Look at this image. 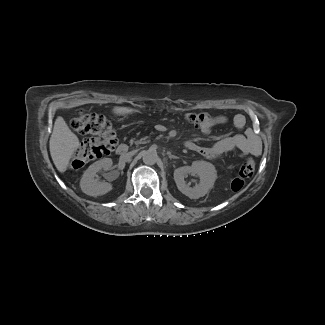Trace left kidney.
<instances>
[{"instance_id": "5707ae66", "label": "left kidney", "mask_w": 325, "mask_h": 325, "mask_svg": "<svg viewBox=\"0 0 325 325\" xmlns=\"http://www.w3.org/2000/svg\"><path fill=\"white\" fill-rule=\"evenodd\" d=\"M188 174L198 175L200 181L195 187H190L185 182ZM217 171L213 164L206 161H194L191 166H183L174 171V180L177 188L191 199L205 196L214 186Z\"/></svg>"}]
</instances>
